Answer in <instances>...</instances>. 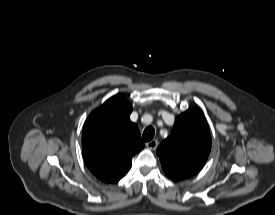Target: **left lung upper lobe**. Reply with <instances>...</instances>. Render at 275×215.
<instances>
[{"label": "left lung upper lobe", "mask_w": 275, "mask_h": 215, "mask_svg": "<svg viewBox=\"0 0 275 215\" xmlns=\"http://www.w3.org/2000/svg\"><path fill=\"white\" fill-rule=\"evenodd\" d=\"M211 149L207 121L198 108L179 115L172 132L157 148L164 172L173 180L197 174L204 166Z\"/></svg>", "instance_id": "obj_1"}]
</instances>
